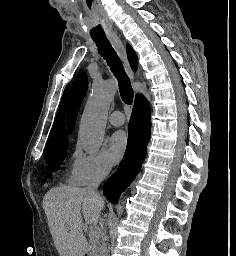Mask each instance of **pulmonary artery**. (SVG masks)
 <instances>
[{
	"label": "pulmonary artery",
	"mask_w": 236,
	"mask_h": 256,
	"mask_svg": "<svg viewBox=\"0 0 236 256\" xmlns=\"http://www.w3.org/2000/svg\"><path fill=\"white\" fill-rule=\"evenodd\" d=\"M109 122L114 126H121L125 119L122 117V113L115 111L108 116Z\"/></svg>",
	"instance_id": "e3ab8cb5"
}]
</instances>
